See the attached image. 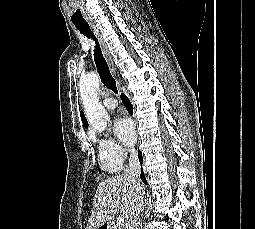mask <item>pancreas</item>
Returning a JSON list of instances; mask_svg holds the SVG:
<instances>
[{"label":"pancreas","instance_id":"pancreas-1","mask_svg":"<svg viewBox=\"0 0 255 229\" xmlns=\"http://www.w3.org/2000/svg\"><path fill=\"white\" fill-rule=\"evenodd\" d=\"M114 229H123V228H121V227H119V226H116V227H114Z\"/></svg>","mask_w":255,"mask_h":229}]
</instances>
